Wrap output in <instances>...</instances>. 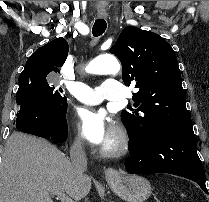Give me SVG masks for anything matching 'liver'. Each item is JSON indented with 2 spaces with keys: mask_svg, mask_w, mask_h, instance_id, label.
I'll return each mask as SVG.
<instances>
[{
  "mask_svg": "<svg viewBox=\"0 0 209 202\" xmlns=\"http://www.w3.org/2000/svg\"><path fill=\"white\" fill-rule=\"evenodd\" d=\"M54 189L78 201L89 193L91 178L76 175L70 160L49 141L12 133L0 163V202H53Z\"/></svg>",
  "mask_w": 209,
  "mask_h": 202,
  "instance_id": "obj_1",
  "label": "liver"
}]
</instances>
